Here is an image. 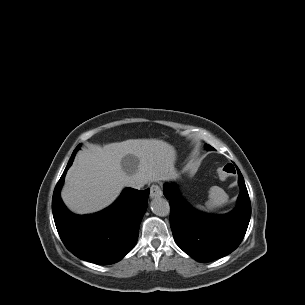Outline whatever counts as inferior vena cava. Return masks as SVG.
I'll list each match as a JSON object with an SVG mask.
<instances>
[{"instance_id": "inferior-vena-cava-1", "label": "inferior vena cava", "mask_w": 305, "mask_h": 305, "mask_svg": "<svg viewBox=\"0 0 305 305\" xmlns=\"http://www.w3.org/2000/svg\"><path fill=\"white\" fill-rule=\"evenodd\" d=\"M144 185L143 184H141V183H139V182H133L131 185H130V187H133V188H135V189H140V188H142Z\"/></svg>"}]
</instances>
